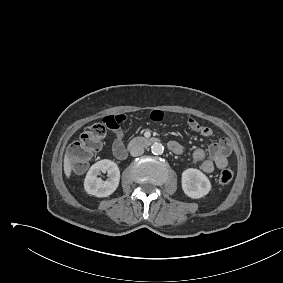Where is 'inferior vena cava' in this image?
I'll use <instances>...</instances> for the list:
<instances>
[{"label":"inferior vena cava","instance_id":"1","mask_svg":"<svg viewBox=\"0 0 283 283\" xmlns=\"http://www.w3.org/2000/svg\"><path fill=\"white\" fill-rule=\"evenodd\" d=\"M144 153V148L142 146H134L130 150V154L133 157L140 156Z\"/></svg>","mask_w":283,"mask_h":283}]
</instances>
